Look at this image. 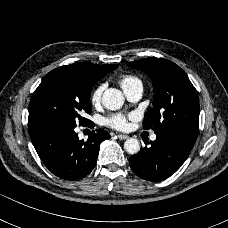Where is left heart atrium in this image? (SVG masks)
Masks as SVG:
<instances>
[{
    "instance_id": "1",
    "label": "left heart atrium",
    "mask_w": 228,
    "mask_h": 228,
    "mask_svg": "<svg viewBox=\"0 0 228 228\" xmlns=\"http://www.w3.org/2000/svg\"><path fill=\"white\" fill-rule=\"evenodd\" d=\"M105 123L107 126L117 130H125L128 127V119L122 114L109 116L106 118Z\"/></svg>"
}]
</instances>
